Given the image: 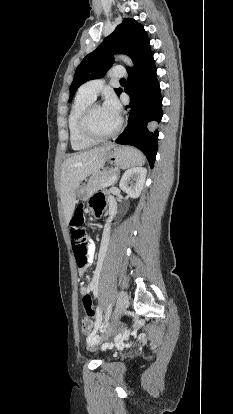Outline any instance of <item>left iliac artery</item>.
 <instances>
[{
  "label": "left iliac artery",
  "instance_id": "obj_1",
  "mask_svg": "<svg viewBox=\"0 0 233 414\" xmlns=\"http://www.w3.org/2000/svg\"><path fill=\"white\" fill-rule=\"evenodd\" d=\"M111 311H112V305L110 304L108 306L107 312H106V316H105V320L107 321L111 315ZM102 320V312L100 310V308H97V318H96V327L98 328L100 322Z\"/></svg>",
  "mask_w": 233,
  "mask_h": 414
}]
</instances>
